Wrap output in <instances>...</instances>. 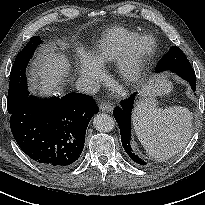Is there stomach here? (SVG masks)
Listing matches in <instances>:
<instances>
[{
	"label": "stomach",
	"mask_w": 205,
	"mask_h": 205,
	"mask_svg": "<svg viewBox=\"0 0 205 205\" xmlns=\"http://www.w3.org/2000/svg\"><path fill=\"white\" fill-rule=\"evenodd\" d=\"M165 92L166 89L162 85L155 87L153 90L143 91L136 104V108L142 107L149 110L154 109L158 104L157 97L162 96Z\"/></svg>",
	"instance_id": "1"
}]
</instances>
